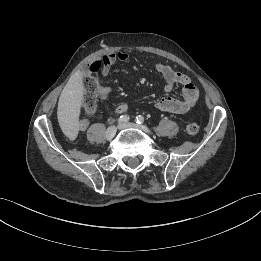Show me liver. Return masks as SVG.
<instances>
[{
	"label": "liver",
	"mask_w": 261,
	"mask_h": 261,
	"mask_svg": "<svg viewBox=\"0 0 261 261\" xmlns=\"http://www.w3.org/2000/svg\"><path fill=\"white\" fill-rule=\"evenodd\" d=\"M83 91L84 85L81 75L78 73L72 75L58 101L57 116L62 129L77 131Z\"/></svg>",
	"instance_id": "obj_1"
}]
</instances>
